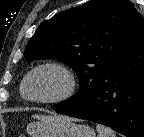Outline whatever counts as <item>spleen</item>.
I'll return each mask as SVG.
<instances>
[{
	"mask_svg": "<svg viewBox=\"0 0 144 137\" xmlns=\"http://www.w3.org/2000/svg\"><path fill=\"white\" fill-rule=\"evenodd\" d=\"M96 130L98 132V137H116L115 132L104 125L97 124Z\"/></svg>",
	"mask_w": 144,
	"mask_h": 137,
	"instance_id": "3e777b00",
	"label": "spleen"
}]
</instances>
